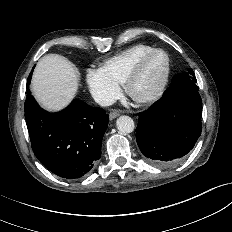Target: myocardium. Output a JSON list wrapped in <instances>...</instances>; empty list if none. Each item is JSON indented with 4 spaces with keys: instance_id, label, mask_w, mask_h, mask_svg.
<instances>
[{
    "instance_id": "f54148a6",
    "label": "myocardium",
    "mask_w": 232,
    "mask_h": 232,
    "mask_svg": "<svg viewBox=\"0 0 232 232\" xmlns=\"http://www.w3.org/2000/svg\"><path fill=\"white\" fill-rule=\"evenodd\" d=\"M155 54H162L165 58V66L163 73L157 83V85L145 95H136L133 92V85L137 78L139 77L146 62ZM171 71V61L169 54L160 48H153L150 51L141 55L136 62L133 64L129 73L127 74L125 81L123 83L125 93L135 102L139 104H147L157 100L163 93L170 76Z\"/></svg>"
}]
</instances>
